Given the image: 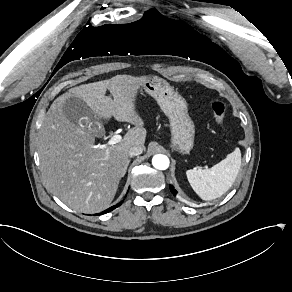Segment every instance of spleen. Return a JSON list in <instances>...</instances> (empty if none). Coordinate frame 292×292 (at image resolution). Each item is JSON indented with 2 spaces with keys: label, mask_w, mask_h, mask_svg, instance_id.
Segmentation results:
<instances>
[{
  "label": "spleen",
  "mask_w": 292,
  "mask_h": 292,
  "mask_svg": "<svg viewBox=\"0 0 292 292\" xmlns=\"http://www.w3.org/2000/svg\"><path fill=\"white\" fill-rule=\"evenodd\" d=\"M241 167L239 148L208 169H190L186 171L187 179L203 200H213L226 193L235 182Z\"/></svg>",
  "instance_id": "3e777b00"
}]
</instances>
